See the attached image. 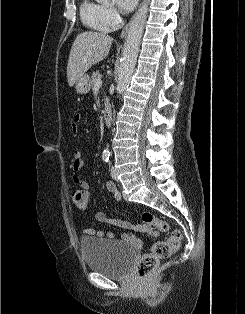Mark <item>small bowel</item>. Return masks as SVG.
<instances>
[{
    "mask_svg": "<svg viewBox=\"0 0 245 314\" xmlns=\"http://www.w3.org/2000/svg\"><path fill=\"white\" fill-rule=\"evenodd\" d=\"M80 120H81L80 115H76L74 118V122L72 124V132L75 135L78 133V123L80 122ZM82 163H83V153L79 150H76L73 154V160H72V165H71V180L74 184L80 186L82 189L89 191V189H90L89 183L86 182L85 180L81 179V177H80V171H81ZM106 189L109 192L114 194V198L117 201H120L122 199L121 194L117 191V188H116L114 183L107 182L106 183ZM94 220L99 222V223H108V224L115 225V226L126 229L127 232H125L123 234L122 239L125 242L132 244L134 246H142V244H143L142 239L138 238L132 232V230L141 231L139 229V226L132 227L131 223L128 221L121 220V219L108 218L104 212H96L94 214ZM83 234L85 236L96 235L98 237H108L110 239L116 238V236L110 231H104V230L95 231L92 228H85L83 231Z\"/></svg>",
    "mask_w": 245,
    "mask_h": 314,
    "instance_id": "small-bowel-1",
    "label": "small bowel"
}]
</instances>
